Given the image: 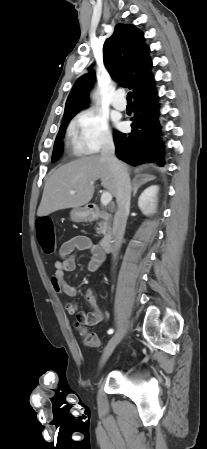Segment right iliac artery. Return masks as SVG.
<instances>
[{
    "label": "right iliac artery",
    "mask_w": 207,
    "mask_h": 449,
    "mask_svg": "<svg viewBox=\"0 0 207 449\" xmlns=\"http://www.w3.org/2000/svg\"><path fill=\"white\" fill-rule=\"evenodd\" d=\"M112 333H113V329H109L108 334H112Z\"/></svg>",
    "instance_id": "right-iliac-artery-1"
}]
</instances>
